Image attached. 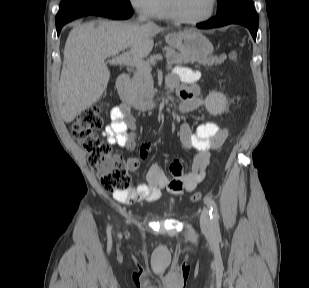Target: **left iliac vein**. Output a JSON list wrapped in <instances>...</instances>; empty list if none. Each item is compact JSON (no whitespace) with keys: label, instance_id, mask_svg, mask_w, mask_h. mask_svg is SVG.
Segmentation results:
<instances>
[{"label":"left iliac vein","instance_id":"left-iliac-vein-1","mask_svg":"<svg viewBox=\"0 0 309 288\" xmlns=\"http://www.w3.org/2000/svg\"><path fill=\"white\" fill-rule=\"evenodd\" d=\"M200 225H201V229L205 233L209 235L212 234V220L210 218V213L207 208H204L201 212Z\"/></svg>","mask_w":309,"mask_h":288}]
</instances>
